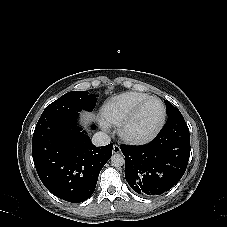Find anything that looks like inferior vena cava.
<instances>
[{"mask_svg":"<svg viewBox=\"0 0 227 227\" xmlns=\"http://www.w3.org/2000/svg\"><path fill=\"white\" fill-rule=\"evenodd\" d=\"M111 142L110 136L105 132H96L92 137V143L95 146H105Z\"/></svg>","mask_w":227,"mask_h":227,"instance_id":"602c4592","label":"inferior vena cava"}]
</instances>
